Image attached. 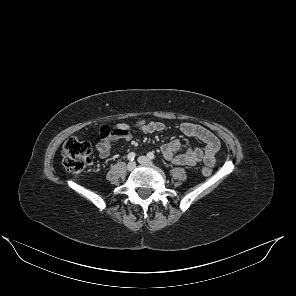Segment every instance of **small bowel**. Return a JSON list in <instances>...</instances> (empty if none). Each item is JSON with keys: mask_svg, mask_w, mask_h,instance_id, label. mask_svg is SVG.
I'll list each match as a JSON object with an SVG mask.
<instances>
[{"mask_svg": "<svg viewBox=\"0 0 296 296\" xmlns=\"http://www.w3.org/2000/svg\"><path fill=\"white\" fill-rule=\"evenodd\" d=\"M165 129L162 122L138 119L132 123H120L114 127L103 125L99 132V141L96 150L101 159H107L111 154L114 143L129 142L134 132L151 134ZM180 131L188 136L197 139L203 144L202 148H186L175 139L161 146L163 156L178 165L194 166L204 161L205 164H215V154L219 149L218 138L206 128L191 122H183Z\"/></svg>", "mask_w": 296, "mask_h": 296, "instance_id": "small-bowel-1", "label": "small bowel"}]
</instances>
